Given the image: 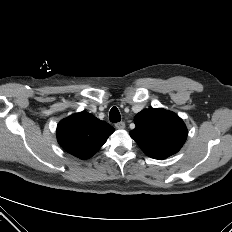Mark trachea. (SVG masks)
Wrapping results in <instances>:
<instances>
[{
  "label": "trachea",
  "mask_w": 232,
  "mask_h": 232,
  "mask_svg": "<svg viewBox=\"0 0 232 232\" xmlns=\"http://www.w3.org/2000/svg\"><path fill=\"white\" fill-rule=\"evenodd\" d=\"M109 119L113 123L119 122L121 120V115L117 107H112L109 113Z\"/></svg>",
  "instance_id": "obj_1"
}]
</instances>
